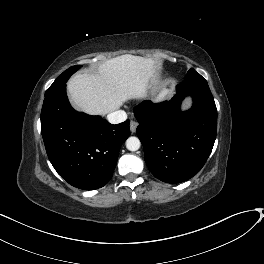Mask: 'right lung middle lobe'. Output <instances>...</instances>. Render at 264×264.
<instances>
[{
  "mask_svg": "<svg viewBox=\"0 0 264 264\" xmlns=\"http://www.w3.org/2000/svg\"><path fill=\"white\" fill-rule=\"evenodd\" d=\"M81 67V65H77V66H72L69 69L65 70L54 82L53 84L47 89L45 95L47 93H50L52 91H54L55 89L59 88L60 86L64 85L67 80L69 79V77L75 73L79 68Z\"/></svg>",
  "mask_w": 264,
  "mask_h": 264,
  "instance_id": "obj_1",
  "label": "right lung middle lobe"
}]
</instances>
